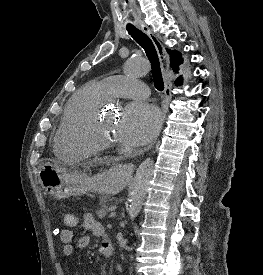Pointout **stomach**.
Returning <instances> with one entry per match:
<instances>
[{
  "label": "stomach",
  "instance_id": "0dacf381",
  "mask_svg": "<svg viewBox=\"0 0 263 275\" xmlns=\"http://www.w3.org/2000/svg\"><path fill=\"white\" fill-rule=\"evenodd\" d=\"M39 181L43 189L56 199L83 195L88 192L116 194L126 185L123 168L113 166L93 176L78 170H68L62 165L44 163L39 170Z\"/></svg>",
  "mask_w": 263,
  "mask_h": 275
}]
</instances>
